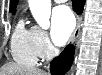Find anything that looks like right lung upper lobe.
<instances>
[{
  "instance_id": "obj_1",
  "label": "right lung upper lobe",
  "mask_w": 102,
  "mask_h": 75,
  "mask_svg": "<svg viewBox=\"0 0 102 75\" xmlns=\"http://www.w3.org/2000/svg\"><path fill=\"white\" fill-rule=\"evenodd\" d=\"M17 3H18V0H10V12H14Z\"/></svg>"
}]
</instances>
